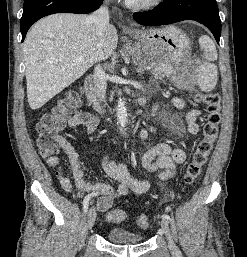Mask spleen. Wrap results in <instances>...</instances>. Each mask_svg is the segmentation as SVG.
I'll return each mask as SVG.
<instances>
[{"label":"spleen","mask_w":247,"mask_h":257,"mask_svg":"<svg viewBox=\"0 0 247 257\" xmlns=\"http://www.w3.org/2000/svg\"><path fill=\"white\" fill-rule=\"evenodd\" d=\"M199 44L205 61L198 68L196 81L202 91L210 92L215 88L218 76L217 66L211 61L216 60L218 54L215 44L208 36H201Z\"/></svg>","instance_id":"3e777b00"}]
</instances>
